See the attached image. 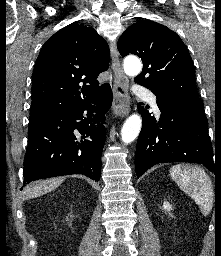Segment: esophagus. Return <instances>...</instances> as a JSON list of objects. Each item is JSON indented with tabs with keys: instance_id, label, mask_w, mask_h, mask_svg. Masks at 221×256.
Listing matches in <instances>:
<instances>
[{
	"instance_id": "1",
	"label": "esophagus",
	"mask_w": 221,
	"mask_h": 256,
	"mask_svg": "<svg viewBox=\"0 0 221 256\" xmlns=\"http://www.w3.org/2000/svg\"><path fill=\"white\" fill-rule=\"evenodd\" d=\"M112 69L115 75L116 83L123 89L125 93L128 90V78L123 73L117 47L114 43L110 45ZM113 113L115 117H124L130 113L129 100L122 94L115 92L113 99Z\"/></svg>"
}]
</instances>
